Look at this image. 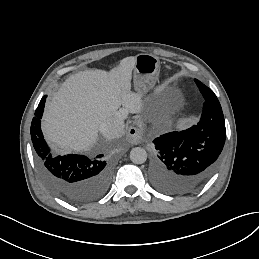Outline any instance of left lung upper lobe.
Returning a JSON list of instances; mask_svg holds the SVG:
<instances>
[{
	"instance_id": "1",
	"label": "left lung upper lobe",
	"mask_w": 259,
	"mask_h": 259,
	"mask_svg": "<svg viewBox=\"0 0 259 259\" xmlns=\"http://www.w3.org/2000/svg\"><path fill=\"white\" fill-rule=\"evenodd\" d=\"M195 82L200 90H207L208 87L201 83L199 80L195 79Z\"/></svg>"
}]
</instances>
